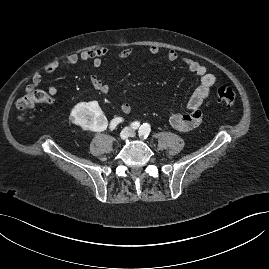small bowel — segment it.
Segmentation results:
<instances>
[{
  "label": "small bowel",
  "instance_id": "c3829d8e",
  "mask_svg": "<svg viewBox=\"0 0 269 269\" xmlns=\"http://www.w3.org/2000/svg\"><path fill=\"white\" fill-rule=\"evenodd\" d=\"M159 51L160 48L155 45H152L148 48V52L152 55L158 54ZM108 53L109 49L107 47H100L97 49L84 50L79 54H69L62 60L53 61L47 64L44 67L43 72L45 74H51L60 69L75 65L79 62H91L95 68H99L103 64V59L108 55ZM132 53V48H125L117 54V58L121 60L126 59L130 57ZM166 60L170 63L181 61L188 71L199 77V84L187 102V110L185 112L173 113L169 117L170 124L174 128L180 131H189L198 126L201 122L202 111L200 107L204 100L210 96L212 88L216 84L217 77L215 74L210 73L206 66H204L202 63L190 58H181L177 51L173 49H169L166 52ZM90 80L92 86L102 94H107L110 92L109 84L104 82L99 76L92 75ZM41 82L42 73H34L31 78L32 85L39 87ZM57 92V87L50 85L45 92L46 98L44 102L51 103L54 100ZM120 110L124 114H129L132 111V106L129 102L123 101L120 104ZM117 119H119L118 123L122 121L120 118Z\"/></svg>",
  "mask_w": 269,
  "mask_h": 269
}]
</instances>
